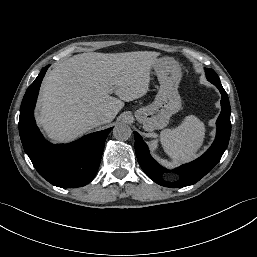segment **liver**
I'll use <instances>...</instances> for the list:
<instances>
[{"instance_id": "liver-1", "label": "liver", "mask_w": 257, "mask_h": 257, "mask_svg": "<svg viewBox=\"0 0 257 257\" xmlns=\"http://www.w3.org/2000/svg\"><path fill=\"white\" fill-rule=\"evenodd\" d=\"M158 56L151 51L88 52L62 62L42 82L39 125L50 139L67 142L100 125L96 119L101 114L109 113L111 122L123 101L147 93Z\"/></svg>"}]
</instances>
